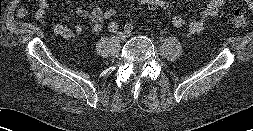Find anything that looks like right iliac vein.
I'll list each match as a JSON object with an SVG mask.
<instances>
[{
	"label": "right iliac vein",
	"instance_id": "1",
	"mask_svg": "<svg viewBox=\"0 0 253 131\" xmlns=\"http://www.w3.org/2000/svg\"><path fill=\"white\" fill-rule=\"evenodd\" d=\"M125 38H126V35H125V33H123V32H119V33L117 34V37H116V39H117L118 41H123V40H125Z\"/></svg>",
	"mask_w": 253,
	"mask_h": 131
}]
</instances>
